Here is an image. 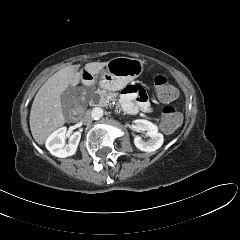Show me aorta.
Listing matches in <instances>:
<instances>
[{
    "label": "aorta",
    "mask_w": 240,
    "mask_h": 240,
    "mask_svg": "<svg viewBox=\"0 0 240 240\" xmlns=\"http://www.w3.org/2000/svg\"><path fill=\"white\" fill-rule=\"evenodd\" d=\"M91 115L94 120H98L103 116V109L100 107H95L92 109Z\"/></svg>",
    "instance_id": "aorta-1"
}]
</instances>
